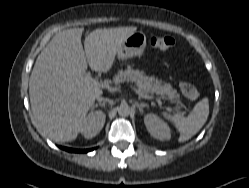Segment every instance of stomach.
I'll use <instances>...</instances> for the list:
<instances>
[{"mask_svg": "<svg viewBox=\"0 0 249 188\" xmlns=\"http://www.w3.org/2000/svg\"><path fill=\"white\" fill-rule=\"evenodd\" d=\"M145 47L146 35L141 31L135 32L123 42L117 53V58L119 60H126L135 56L140 57L143 55Z\"/></svg>", "mask_w": 249, "mask_h": 188, "instance_id": "1", "label": "stomach"}]
</instances>
